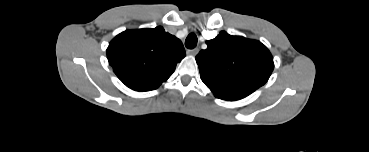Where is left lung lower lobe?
<instances>
[{
    "label": "left lung lower lobe",
    "mask_w": 369,
    "mask_h": 152,
    "mask_svg": "<svg viewBox=\"0 0 369 152\" xmlns=\"http://www.w3.org/2000/svg\"><path fill=\"white\" fill-rule=\"evenodd\" d=\"M223 100H228V99H223ZM229 101H233V100H229Z\"/></svg>",
    "instance_id": "1"
}]
</instances>
